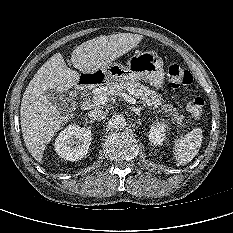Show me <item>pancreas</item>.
Listing matches in <instances>:
<instances>
[{"label": "pancreas", "instance_id": "pancreas-1", "mask_svg": "<svg viewBox=\"0 0 233 233\" xmlns=\"http://www.w3.org/2000/svg\"><path fill=\"white\" fill-rule=\"evenodd\" d=\"M122 91H128L134 98L139 99L145 106L153 107V109L161 107L158 112H165L167 116H171L173 124H181L184 116L179 114V111L171 104H165L164 100L155 91L136 81H110L101 85L96 91H92V95L98 93L114 92L115 94Z\"/></svg>", "mask_w": 233, "mask_h": 233}]
</instances>
